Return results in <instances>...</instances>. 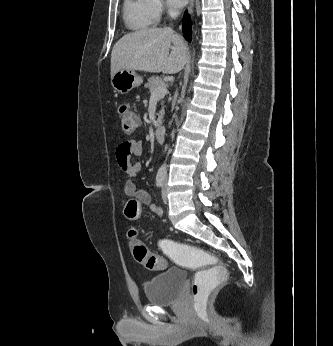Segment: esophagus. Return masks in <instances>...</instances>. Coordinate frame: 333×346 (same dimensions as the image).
I'll use <instances>...</instances> for the list:
<instances>
[{
  "mask_svg": "<svg viewBox=\"0 0 333 346\" xmlns=\"http://www.w3.org/2000/svg\"><path fill=\"white\" fill-rule=\"evenodd\" d=\"M194 3H195V0H190L188 8H187L189 14H192L194 10Z\"/></svg>",
  "mask_w": 333,
  "mask_h": 346,
  "instance_id": "34e87169",
  "label": "esophagus"
}]
</instances>
